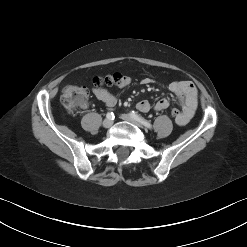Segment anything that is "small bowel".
Here are the masks:
<instances>
[{
  "label": "small bowel",
  "mask_w": 247,
  "mask_h": 247,
  "mask_svg": "<svg viewBox=\"0 0 247 247\" xmlns=\"http://www.w3.org/2000/svg\"><path fill=\"white\" fill-rule=\"evenodd\" d=\"M141 83L144 85H149L154 83V80L146 77L141 80ZM130 84H131L130 78L124 77L120 86L127 87ZM167 88L170 92L175 94L180 101L181 114L176 119V123L179 126H184L191 120L197 108V104H198L197 89L192 82L182 81V80L173 81L169 83ZM93 93L99 101H101L108 107H114L117 103L116 97L103 88L94 87ZM169 105L170 103L168 99L160 98L159 100L156 101L153 108L157 111H162L167 109ZM136 107L141 112H148L152 108V105L148 100H141L137 103Z\"/></svg>",
  "instance_id": "c3829d8e"
}]
</instances>
